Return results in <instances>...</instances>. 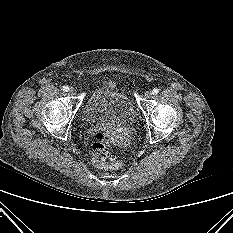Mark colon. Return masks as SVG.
Returning <instances> with one entry per match:
<instances>
[{"mask_svg":"<svg viewBox=\"0 0 233 233\" xmlns=\"http://www.w3.org/2000/svg\"><path fill=\"white\" fill-rule=\"evenodd\" d=\"M110 146L106 132L101 129L96 130L90 147L94 164L99 168L117 170L122 167L123 162L117 160L115 155L109 151Z\"/></svg>","mask_w":233,"mask_h":233,"instance_id":"5ec220e1","label":"colon"}]
</instances>
